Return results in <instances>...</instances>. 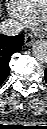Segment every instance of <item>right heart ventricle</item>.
I'll return each mask as SVG.
<instances>
[{"instance_id": "obj_1", "label": "right heart ventricle", "mask_w": 47, "mask_h": 129, "mask_svg": "<svg viewBox=\"0 0 47 129\" xmlns=\"http://www.w3.org/2000/svg\"><path fill=\"white\" fill-rule=\"evenodd\" d=\"M17 1L32 17H36L42 11L47 0H17Z\"/></svg>"}]
</instances>
